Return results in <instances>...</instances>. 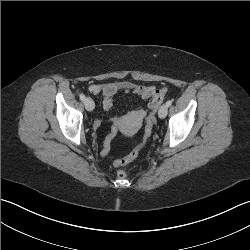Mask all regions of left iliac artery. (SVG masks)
<instances>
[{
  "label": "left iliac artery",
  "mask_w": 250,
  "mask_h": 250,
  "mask_svg": "<svg viewBox=\"0 0 250 250\" xmlns=\"http://www.w3.org/2000/svg\"><path fill=\"white\" fill-rule=\"evenodd\" d=\"M171 104H172V101H171V100H169V101L166 102V106H167V107L171 106Z\"/></svg>",
  "instance_id": "left-iliac-artery-1"
}]
</instances>
